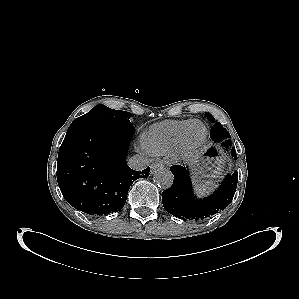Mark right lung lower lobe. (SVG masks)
<instances>
[{
  "label": "right lung lower lobe",
  "instance_id": "1",
  "mask_svg": "<svg viewBox=\"0 0 299 299\" xmlns=\"http://www.w3.org/2000/svg\"><path fill=\"white\" fill-rule=\"evenodd\" d=\"M133 133L132 125L67 131L59 149L57 181L71 206L94 216L123 208L132 183L150 172L126 164Z\"/></svg>",
  "mask_w": 299,
  "mask_h": 299
}]
</instances>
